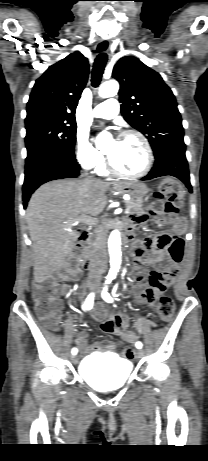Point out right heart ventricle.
I'll use <instances>...</instances> for the list:
<instances>
[{
	"mask_svg": "<svg viewBox=\"0 0 208 461\" xmlns=\"http://www.w3.org/2000/svg\"><path fill=\"white\" fill-rule=\"evenodd\" d=\"M97 171L98 173L102 174V175H107V170L105 168V166L102 164L99 168H97Z\"/></svg>",
	"mask_w": 208,
	"mask_h": 461,
	"instance_id": "obj_1",
	"label": "right heart ventricle"
}]
</instances>
